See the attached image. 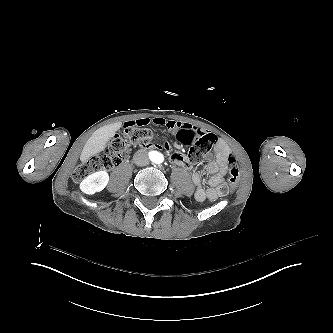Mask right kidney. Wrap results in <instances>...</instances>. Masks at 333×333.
Segmentation results:
<instances>
[{"mask_svg":"<svg viewBox=\"0 0 333 333\" xmlns=\"http://www.w3.org/2000/svg\"><path fill=\"white\" fill-rule=\"evenodd\" d=\"M109 181V175L106 171H98L87 176L81 183L80 189L88 195L102 191Z\"/></svg>","mask_w":333,"mask_h":333,"instance_id":"ca27d5eb","label":"right kidney"}]
</instances>
